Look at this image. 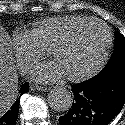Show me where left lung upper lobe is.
I'll return each mask as SVG.
<instances>
[{"label":"left lung upper lobe","mask_w":125,"mask_h":125,"mask_svg":"<svg viewBox=\"0 0 125 125\" xmlns=\"http://www.w3.org/2000/svg\"><path fill=\"white\" fill-rule=\"evenodd\" d=\"M123 68H125V37L121 33L116 31L114 52L112 53L108 63L103 68V70L91 79L98 80L99 78L109 73Z\"/></svg>","instance_id":"left-lung-upper-lobe-1"}]
</instances>
